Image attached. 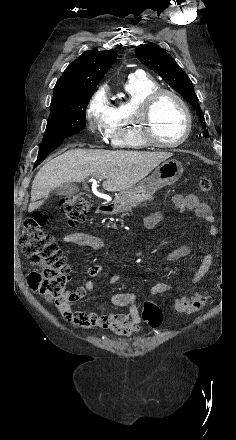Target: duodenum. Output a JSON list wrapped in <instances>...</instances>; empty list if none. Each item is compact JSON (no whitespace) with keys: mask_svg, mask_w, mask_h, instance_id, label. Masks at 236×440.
<instances>
[{"mask_svg":"<svg viewBox=\"0 0 236 440\" xmlns=\"http://www.w3.org/2000/svg\"><path fill=\"white\" fill-rule=\"evenodd\" d=\"M114 209V204L110 201L103 202L100 204L96 210V213L99 215L107 214Z\"/></svg>","mask_w":236,"mask_h":440,"instance_id":"1","label":"duodenum"}]
</instances>
